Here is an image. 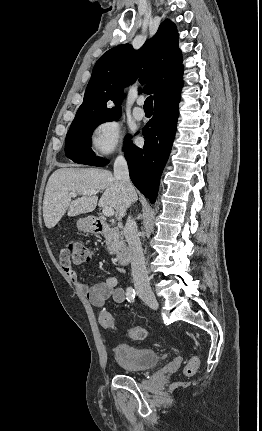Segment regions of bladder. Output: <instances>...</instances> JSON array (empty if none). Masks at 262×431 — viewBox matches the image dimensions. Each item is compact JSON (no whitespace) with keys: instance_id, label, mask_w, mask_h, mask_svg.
<instances>
[{"instance_id":"1","label":"bladder","mask_w":262,"mask_h":431,"mask_svg":"<svg viewBox=\"0 0 262 431\" xmlns=\"http://www.w3.org/2000/svg\"><path fill=\"white\" fill-rule=\"evenodd\" d=\"M119 366L127 371H143L157 366L162 359L161 353L146 346L118 344L115 351Z\"/></svg>"}]
</instances>
